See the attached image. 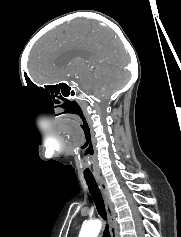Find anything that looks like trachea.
<instances>
[{
    "mask_svg": "<svg viewBox=\"0 0 181 237\" xmlns=\"http://www.w3.org/2000/svg\"><path fill=\"white\" fill-rule=\"evenodd\" d=\"M85 180L88 185L91 196L95 202V205H96L99 215L103 219H106V210H105V206H104V201H103L101 192L97 186L95 179L85 177ZM103 237H111L110 233H109L108 225H106V227H105Z\"/></svg>",
    "mask_w": 181,
    "mask_h": 237,
    "instance_id": "obj_1",
    "label": "trachea"
}]
</instances>
